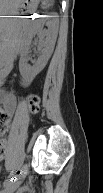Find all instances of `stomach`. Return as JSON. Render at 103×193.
<instances>
[{
	"label": "stomach",
	"mask_w": 103,
	"mask_h": 193,
	"mask_svg": "<svg viewBox=\"0 0 103 193\" xmlns=\"http://www.w3.org/2000/svg\"><path fill=\"white\" fill-rule=\"evenodd\" d=\"M40 0H0V15L3 18V33L11 31L8 23L11 21L6 17H11L14 15H22L25 13H31L35 11ZM11 40V34L9 36H4L1 39V52L2 57L5 58V54L9 51V42Z\"/></svg>",
	"instance_id": "stomach-1"
}]
</instances>
